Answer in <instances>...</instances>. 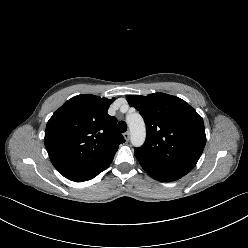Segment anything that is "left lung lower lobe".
Wrapping results in <instances>:
<instances>
[{
    "mask_svg": "<svg viewBox=\"0 0 248 248\" xmlns=\"http://www.w3.org/2000/svg\"><path fill=\"white\" fill-rule=\"evenodd\" d=\"M150 176H152L154 179L162 182H170L175 181L183 177L184 175L176 174V173H170V172H163L158 171L155 169L142 167Z\"/></svg>",
    "mask_w": 248,
    "mask_h": 248,
    "instance_id": "obj_1",
    "label": "left lung lower lobe"
}]
</instances>
